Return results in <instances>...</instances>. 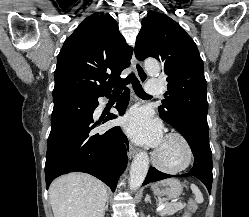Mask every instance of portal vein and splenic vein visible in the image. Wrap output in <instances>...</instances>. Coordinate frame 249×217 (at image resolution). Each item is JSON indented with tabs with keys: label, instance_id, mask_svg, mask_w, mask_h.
I'll return each instance as SVG.
<instances>
[{
	"label": "portal vein and splenic vein",
	"instance_id": "18ae733b",
	"mask_svg": "<svg viewBox=\"0 0 249 217\" xmlns=\"http://www.w3.org/2000/svg\"><path fill=\"white\" fill-rule=\"evenodd\" d=\"M165 206H166V204H165V203L160 204V205L157 207L156 211H157V212L161 211L162 209H164V208H165Z\"/></svg>",
	"mask_w": 249,
	"mask_h": 217
}]
</instances>
